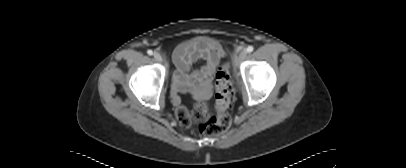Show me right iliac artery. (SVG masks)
Segmentation results:
<instances>
[{"label":"right iliac artery","mask_w":406,"mask_h":168,"mask_svg":"<svg viewBox=\"0 0 406 168\" xmlns=\"http://www.w3.org/2000/svg\"><path fill=\"white\" fill-rule=\"evenodd\" d=\"M147 53H148V55H153V51H152V50H148Z\"/></svg>","instance_id":"obj_1"}]
</instances>
